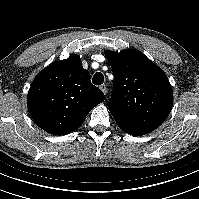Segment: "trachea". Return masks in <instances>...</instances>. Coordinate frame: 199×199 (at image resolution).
Segmentation results:
<instances>
[{
    "label": "trachea",
    "mask_w": 199,
    "mask_h": 199,
    "mask_svg": "<svg viewBox=\"0 0 199 199\" xmlns=\"http://www.w3.org/2000/svg\"><path fill=\"white\" fill-rule=\"evenodd\" d=\"M92 82L95 85H101L104 82V76L101 72L95 73V75L92 78Z\"/></svg>",
    "instance_id": "trachea-1"
}]
</instances>
